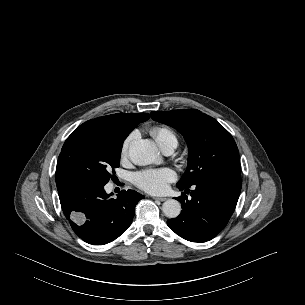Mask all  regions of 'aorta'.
<instances>
[{
	"instance_id": "obj_1",
	"label": "aorta",
	"mask_w": 305,
	"mask_h": 305,
	"mask_svg": "<svg viewBox=\"0 0 305 305\" xmlns=\"http://www.w3.org/2000/svg\"><path fill=\"white\" fill-rule=\"evenodd\" d=\"M130 159L137 165H149L156 162L160 152L156 144L147 139L132 142L129 147ZM162 211L168 218H176L181 212V204L175 199H168L162 205Z\"/></svg>"
}]
</instances>
